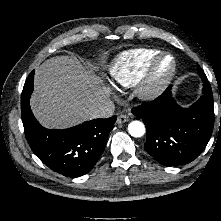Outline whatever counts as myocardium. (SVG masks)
Listing matches in <instances>:
<instances>
[{"mask_svg":"<svg viewBox=\"0 0 221 221\" xmlns=\"http://www.w3.org/2000/svg\"><path fill=\"white\" fill-rule=\"evenodd\" d=\"M170 60V67L163 75H158L159 66L163 60ZM177 72L175 57L168 52H160L150 62L135 87V93L142 100H151L160 96L171 84Z\"/></svg>","mask_w":221,"mask_h":221,"instance_id":"obj_1","label":"myocardium"}]
</instances>
